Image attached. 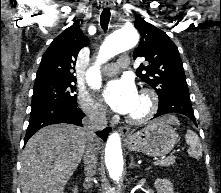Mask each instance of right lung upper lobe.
<instances>
[{
	"mask_svg": "<svg viewBox=\"0 0 221 193\" xmlns=\"http://www.w3.org/2000/svg\"><path fill=\"white\" fill-rule=\"evenodd\" d=\"M89 44L78 22L57 36L42 56L35 84L76 81L71 72L79 51Z\"/></svg>",
	"mask_w": 221,
	"mask_h": 193,
	"instance_id": "right-lung-upper-lobe-1",
	"label": "right lung upper lobe"
}]
</instances>
